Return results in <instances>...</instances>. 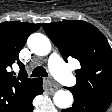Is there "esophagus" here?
I'll list each match as a JSON object with an SVG mask.
<instances>
[{
	"label": "esophagus",
	"mask_w": 112,
	"mask_h": 112,
	"mask_svg": "<svg viewBox=\"0 0 112 112\" xmlns=\"http://www.w3.org/2000/svg\"><path fill=\"white\" fill-rule=\"evenodd\" d=\"M44 83H45V90L48 91L49 93H54L58 89L57 84L51 78L44 79Z\"/></svg>",
	"instance_id": "esophagus-1"
}]
</instances>
